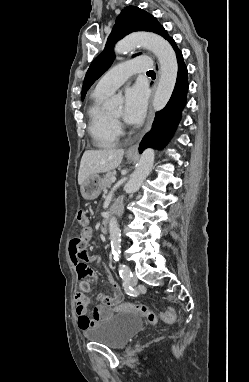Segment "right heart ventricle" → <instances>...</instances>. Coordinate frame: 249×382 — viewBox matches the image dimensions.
<instances>
[{"label": "right heart ventricle", "instance_id": "right-heart-ventricle-1", "mask_svg": "<svg viewBox=\"0 0 249 382\" xmlns=\"http://www.w3.org/2000/svg\"><path fill=\"white\" fill-rule=\"evenodd\" d=\"M109 95L95 89L87 110L89 132L94 144L99 148L115 146L120 136L117 123L103 107V103Z\"/></svg>", "mask_w": 249, "mask_h": 382}]
</instances>
